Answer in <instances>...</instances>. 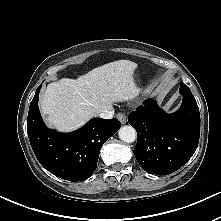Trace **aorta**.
Masks as SVG:
<instances>
[{"instance_id": "762f6f07", "label": "aorta", "mask_w": 221, "mask_h": 221, "mask_svg": "<svg viewBox=\"0 0 221 221\" xmlns=\"http://www.w3.org/2000/svg\"><path fill=\"white\" fill-rule=\"evenodd\" d=\"M119 138L126 142V143H132L136 140V130L132 126H122L119 129L118 132Z\"/></svg>"}]
</instances>
